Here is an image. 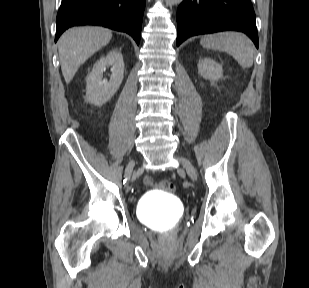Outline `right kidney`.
<instances>
[{"instance_id":"right-kidney-1","label":"right kidney","mask_w":309,"mask_h":288,"mask_svg":"<svg viewBox=\"0 0 309 288\" xmlns=\"http://www.w3.org/2000/svg\"><path fill=\"white\" fill-rule=\"evenodd\" d=\"M111 67L109 81L103 79L106 68ZM124 77V62L117 49L101 57L86 78V100L96 106L109 101L119 89Z\"/></svg>"}]
</instances>
